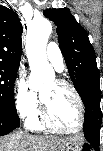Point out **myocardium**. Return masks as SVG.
<instances>
[{
    "label": "myocardium",
    "instance_id": "myocardium-1",
    "mask_svg": "<svg viewBox=\"0 0 103 151\" xmlns=\"http://www.w3.org/2000/svg\"><path fill=\"white\" fill-rule=\"evenodd\" d=\"M56 84L60 87H65L68 90L71 91V93L73 94V96L76 99V102L78 104L79 107V112H80V122L78 127H76L75 129H65L62 127L57 126L50 118L49 114H48V108L47 105L45 103V101L43 100V98H41V109H40V118L42 123L44 124V126L46 128H48L49 130L53 131V132H57V133H63V134H75V133H79L81 132L86 124V108H85V104L84 101L80 95V93L78 92V90L75 88L74 85H72L70 82L64 80V79H57Z\"/></svg>",
    "mask_w": 103,
    "mask_h": 151
}]
</instances>
